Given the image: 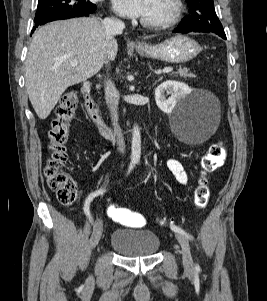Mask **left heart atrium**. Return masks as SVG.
<instances>
[{
  "label": "left heart atrium",
  "mask_w": 267,
  "mask_h": 301,
  "mask_svg": "<svg viewBox=\"0 0 267 301\" xmlns=\"http://www.w3.org/2000/svg\"><path fill=\"white\" fill-rule=\"evenodd\" d=\"M150 0H112L115 11L124 17H143L149 6Z\"/></svg>",
  "instance_id": "39dd6f15"
}]
</instances>
